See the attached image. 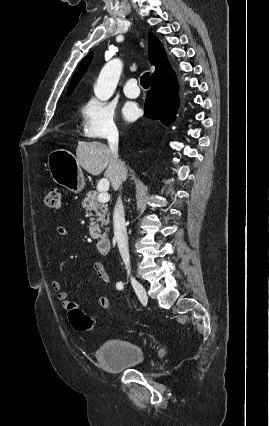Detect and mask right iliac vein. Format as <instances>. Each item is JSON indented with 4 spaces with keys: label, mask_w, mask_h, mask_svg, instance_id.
<instances>
[{
    "label": "right iliac vein",
    "mask_w": 269,
    "mask_h": 426,
    "mask_svg": "<svg viewBox=\"0 0 269 426\" xmlns=\"http://www.w3.org/2000/svg\"><path fill=\"white\" fill-rule=\"evenodd\" d=\"M131 284L136 292V294L138 295L140 301L146 305L148 302V295L147 292L145 290V288L143 287V285L138 282L137 280H135L134 278L131 279Z\"/></svg>",
    "instance_id": "obj_1"
}]
</instances>
